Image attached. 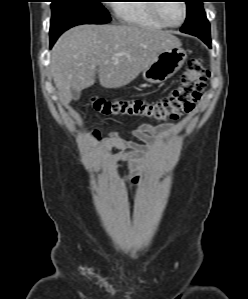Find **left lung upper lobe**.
Wrapping results in <instances>:
<instances>
[{"mask_svg":"<svg viewBox=\"0 0 248 299\" xmlns=\"http://www.w3.org/2000/svg\"><path fill=\"white\" fill-rule=\"evenodd\" d=\"M185 2L187 4V17L181 32L197 37L202 34L207 40L211 39L210 25L203 9V0H185Z\"/></svg>","mask_w":248,"mask_h":299,"instance_id":"left-lung-upper-lobe-1","label":"left lung upper lobe"}]
</instances>
